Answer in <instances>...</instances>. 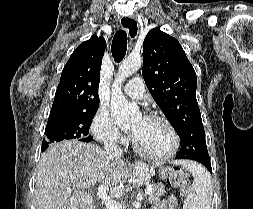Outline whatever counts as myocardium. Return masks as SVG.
<instances>
[{
    "mask_svg": "<svg viewBox=\"0 0 253 209\" xmlns=\"http://www.w3.org/2000/svg\"><path fill=\"white\" fill-rule=\"evenodd\" d=\"M147 118H151V119H156L161 121L162 123H164L167 128L169 129L171 135H172V146L170 148V150H168L166 153L164 154H160V155H153L150 154L146 151H144L135 141V139L133 140V148L135 150V152L140 155L141 157L151 160V161H155V162H162V161H166L169 158H171L178 150L179 148V144H180V138H179V134L176 130V128L174 127V125L171 123V121L166 118L165 116L159 114V113H149L147 116Z\"/></svg>",
    "mask_w": 253,
    "mask_h": 209,
    "instance_id": "obj_1",
    "label": "myocardium"
}]
</instances>
